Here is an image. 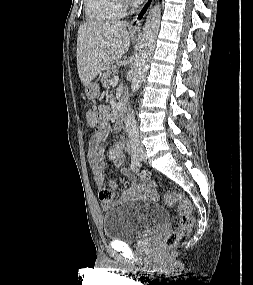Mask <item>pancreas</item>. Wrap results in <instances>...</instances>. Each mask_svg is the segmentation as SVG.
Returning a JSON list of instances; mask_svg holds the SVG:
<instances>
[{
  "instance_id": "pancreas-1",
  "label": "pancreas",
  "mask_w": 253,
  "mask_h": 285,
  "mask_svg": "<svg viewBox=\"0 0 253 285\" xmlns=\"http://www.w3.org/2000/svg\"><path fill=\"white\" fill-rule=\"evenodd\" d=\"M118 73V67L115 65H110L105 69V72L101 76V83L103 87H107L110 80Z\"/></svg>"
}]
</instances>
